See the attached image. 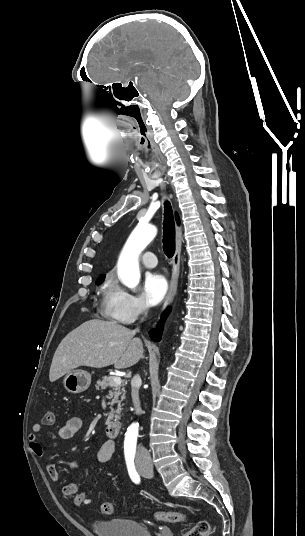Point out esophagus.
<instances>
[{
  "instance_id": "esophagus-1",
  "label": "esophagus",
  "mask_w": 305,
  "mask_h": 536,
  "mask_svg": "<svg viewBox=\"0 0 305 536\" xmlns=\"http://www.w3.org/2000/svg\"><path fill=\"white\" fill-rule=\"evenodd\" d=\"M181 242H182V227H176V249L175 254L172 258V275L170 280V287L168 293L164 300L163 310L171 304L178 284L179 270H180V253H181Z\"/></svg>"
}]
</instances>
